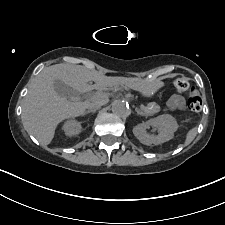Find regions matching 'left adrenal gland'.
I'll return each instance as SVG.
<instances>
[{"label":"left adrenal gland","mask_w":225,"mask_h":225,"mask_svg":"<svg viewBox=\"0 0 225 225\" xmlns=\"http://www.w3.org/2000/svg\"><path fill=\"white\" fill-rule=\"evenodd\" d=\"M136 112H137L138 115L145 116V114H144L143 112H141V111H140L139 109H137V108H136Z\"/></svg>","instance_id":"1"}]
</instances>
